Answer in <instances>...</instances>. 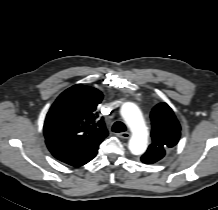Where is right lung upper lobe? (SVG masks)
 Segmentation results:
<instances>
[{
	"label": "right lung upper lobe",
	"instance_id": "cb5924a9",
	"mask_svg": "<svg viewBox=\"0 0 218 210\" xmlns=\"http://www.w3.org/2000/svg\"><path fill=\"white\" fill-rule=\"evenodd\" d=\"M102 99L101 91L82 84L65 90L46 116L45 139L80 147L98 146L108 135L103 118L95 112Z\"/></svg>",
	"mask_w": 218,
	"mask_h": 210
}]
</instances>
